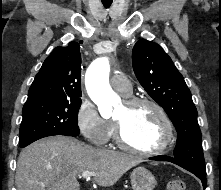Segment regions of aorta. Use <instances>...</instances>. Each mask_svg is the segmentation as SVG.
Segmentation results:
<instances>
[{"instance_id":"1","label":"aorta","mask_w":221,"mask_h":190,"mask_svg":"<svg viewBox=\"0 0 221 190\" xmlns=\"http://www.w3.org/2000/svg\"><path fill=\"white\" fill-rule=\"evenodd\" d=\"M109 72V59L101 57L91 63L85 76L88 95L98 106L99 113L103 118L112 114L113 105L119 100L109 84Z\"/></svg>"}]
</instances>
